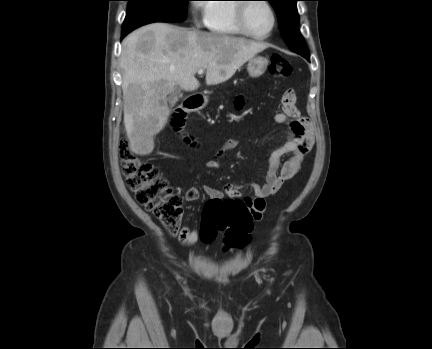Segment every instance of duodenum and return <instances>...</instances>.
<instances>
[{"instance_id":"1","label":"duodenum","mask_w":432,"mask_h":349,"mask_svg":"<svg viewBox=\"0 0 432 349\" xmlns=\"http://www.w3.org/2000/svg\"><path fill=\"white\" fill-rule=\"evenodd\" d=\"M202 104V97L192 96L186 99L172 119V126L179 130L184 126L186 117L195 112Z\"/></svg>"}]
</instances>
